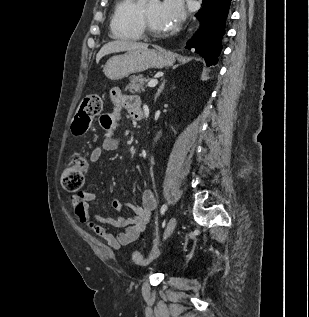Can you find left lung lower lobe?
Returning <instances> with one entry per match:
<instances>
[{"label":"left lung lower lobe","instance_id":"1","mask_svg":"<svg viewBox=\"0 0 309 317\" xmlns=\"http://www.w3.org/2000/svg\"><path fill=\"white\" fill-rule=\"evenodd\" d=\"M231 3L232 0H204L202 11L196 14L201 22V31L195 34L186 48H194L205 59L208 67L218 63Z\"/></svg>","mask_w":309,"mask_h":317}]
</instances>
